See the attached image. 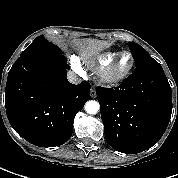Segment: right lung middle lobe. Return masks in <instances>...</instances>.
<instances>
[{
  "label": "right lung middle lobe",
  "instance_id": "obj_1",
  "mask_svg": "<svg viewBox=\"0 0 178 178\" xmlns=\"http://www.w3.org/2000/svg\"><path fill=\"white\" fill-rule=\"evenodd\" d=\"M56 54H62V51L52 43H48L44 36L41 35L34 39L32 44L21 53L20 57L49 56Z\"/></svg>",
  "mask_w": 178,
  "mask_h": 178
}]
</instances>
